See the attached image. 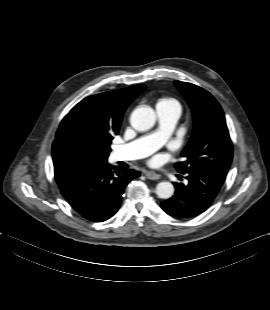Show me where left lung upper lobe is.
I'll list each match as a JSON object with an SVG mask.
<instances>
[{
	"label": "left lung upper lobe",
	"instance_id": "5c2ea615",
	"mask_svg": "<svg viewBox=\"0 0 270 310\" xmlns=\"http://www.w3.org/2000/svg\"><path fill=\"white\" fill-rule=\"evenodd\" d=\"M175 85L194 116L191 139L181 154L185 161L177 163L176 169L182 174L199 170L225 177L233 150L222 108L209 92L194 84L175 81Z\"/></svg>",
	"mask_w": 270,
	"mask_h": 310
}]
</instances>
